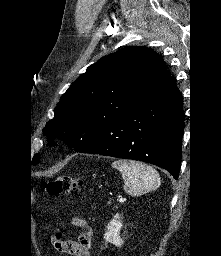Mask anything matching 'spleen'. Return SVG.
I'll list each match as a JSON object with an SVG mask.
<instances>
[{
    "instance_id": "3e777b00",
    "label": "spleen",
    "mask_w": 221,
    "mask_h": 256,
    "mask_svg": "<svg viewBox=\"0 0 221 256\" xmlns=\"http://www.w3.org/2000/svg\"><path fill=\"white\" fill-rule=\"evenodd\" d=\"M112 167L118 169L124 180V191L138 197L160 186V176L157 171L137 161L116 160Z\"/></svg>"
}]
</instances>
